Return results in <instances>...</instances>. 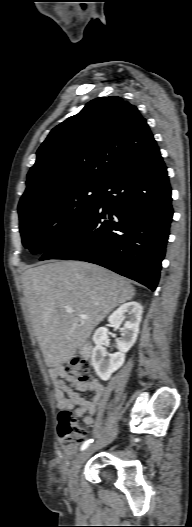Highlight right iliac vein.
<instances>
[{
  "mask_svg": "<svg viewBox=\"0 0 192 527\" xmlns=\"http://www.w3.org/2000/svg\"><path fill=\"white\" fill-rule=\"evenodd\" d=\"M117 432L118 429L114 428L108 437L102 439L92 447H89L76 458L69 474V485L72 491H76L78 489V473L82 465L86 462V460L95 450H98L112 442L113 439L116 437Z\"/></svg>",
  "mask_w": 192,
  "mask_h": 527,
  "instance_id": "1",
  "label": "right iliac vein"
}]
</instances>
